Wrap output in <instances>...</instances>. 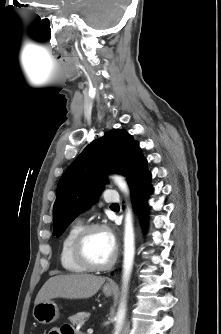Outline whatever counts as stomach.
<instances>
[{
  "mask_svg": "<svg viewBox=\"0 0 221 334\" xmlns=\"http://www.w3.org/2000/svg\"><path fill=\"white\" fill-rule=\"evenodd\" d=\"M103 293L109 297L114 293V289L103 287ZM34 319L41 324H51L59 318V308L57 304L51 300L38 303L33 308Z\"/></svg>",
  "mask_w": 221,
  "mask_h": 334,
  "instance_id": "stomach-1",
  "label": "stomach"
}]
</instances>
